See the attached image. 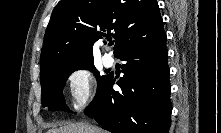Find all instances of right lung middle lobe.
I'll return each mask as SVG.
<instances>
[{
  "mask_svg": "<svg viewBox=\"0 0 221 133\" xmlns=\"http://www.w3.org/2000/svg\"><path fill=\"white\" fill-rule=\"evenodd\" d=\"M79 69L91 70L97 79L98 88L107 78V76L99 75V71L94 67L93 61L83 63L66 62L49 66L44 71H42L40 75V82L42 87L41 98L43 107L47 106L51 111H69L64 103L62 89L68 76L72 72Z\"/></svg>",
  "mask_w": 221,
  "mask_h": 133,
  "instance_id": "1",
  "label": "right lung middle lobe"
}]
</instances>
